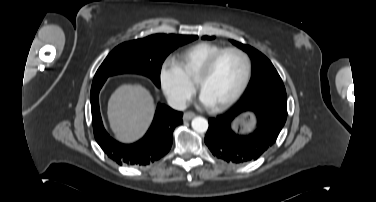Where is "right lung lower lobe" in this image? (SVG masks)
<instances>
[{"label":"right lung lower lobe","mask_w":376,"mask_h":202,"mask_svg":"<svg viewBox=\"0 0 376 202\" xmlns=\"http://www.w3.org/2000/svg\"><path fill=\"white\" fill-rule=\"evenodd\" d=\"M105 81L106 79H102L92 84L90 100L94 136L107 156L119 165L134 166L147 165L168 153L173 141V130L182 123L183 113L158 104L146 135L134 144H121L109 136L102 124L99 91Z\"/></svg>","instance_id":"1"}]
</instances>
